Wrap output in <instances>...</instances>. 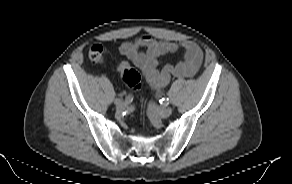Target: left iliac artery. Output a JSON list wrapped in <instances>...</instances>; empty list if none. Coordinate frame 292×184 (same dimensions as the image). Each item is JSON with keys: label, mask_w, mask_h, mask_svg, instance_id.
I'll return each instance as SVG.
<instances>
[{"label": "left iliac artery", "mask_w": 292, "mask_h": 184, "mask_svg": "<svg viewBox=\"0 0 292 184\" xmlns=\"http://www.w3.org/2000/svg\"><path fill=\"white\" fill-rule=\"evenodd\" d=\"M159 102L163 105H168L169 104V98H162L159 100Z\"/></svg>", "instance_id": "left-iliac-artery-1"}]
</instances>
